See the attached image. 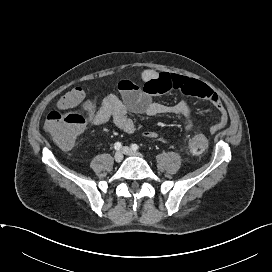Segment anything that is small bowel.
Segmentation results:
<instances>
[{
  "instance_id": "small-bowel-1",
  "label": "small bowel",
  "mask_w": 272,
  "mask_h": 272,
  "mask_svg": "<svg viewBox=\"0 0 272 272\" xmlns=\"http://www.w3.org/2000/svg\"><path fill=\"white\" fill-rule=\"evenodd\" d=\"M137 84L130 79H122L118 82L121 97L110 94L104 98L97 111L90 112V119L95 125H103L112 121L119 129L131 134L135 131V125L129 117V113L158 116L171 114L179 117L186 131L193 127L191 111L185 102L174 106H166L154 100V95L168 93L170 91H181L185 95L197 97L209 102L219 113V122L211 127L215 133L225 127L228 114L218 95L201 81L182 75L157 72L151 69L143 70L139 74ZM150 139L158 138L153 131L144 133Z\"/></svg>"
}]
</instances>
